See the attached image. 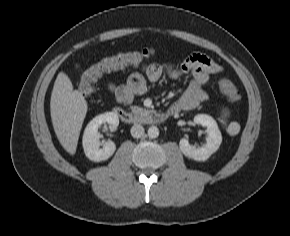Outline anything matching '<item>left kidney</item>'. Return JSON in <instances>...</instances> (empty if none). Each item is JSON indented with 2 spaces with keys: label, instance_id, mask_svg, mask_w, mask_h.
<instances>
[{
  "label": "left kidney",
  "instance_id": "obj_1",
  "mask_svg": "<svg viewBox=\"0 0 290 236\" xmlns=\"http://www.w3.org/2000/svg\"><path fill=\"white\" fill-rule=\"evenodd\" d=\"M194 123L207 127L206 144L202 147H194L189 144L187 139H181L179 146L183 154L196 161L207 160L214 152H216L222 142V135L216 121L209 115L198 114L194 117Z\"/></svg>",
  "mask_w": 290,
  "mask_h": 236
}]
</instances>
